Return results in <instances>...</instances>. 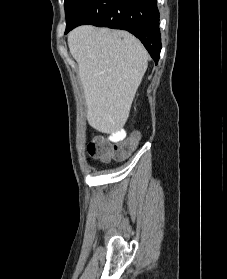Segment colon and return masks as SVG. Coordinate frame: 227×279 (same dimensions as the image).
<instances>
[{
    "label": "colon",
    "instance_id": "1",
    "mask_svg": "<svg viewBox=\"0 0 227 279\" xmlns=\"http://www.w3.org/2000/svg\"><path fill=\"white\" fill-rule=\"evenodd\" d=\"M138 142V133H134L125 141L115 144H109L104 139H97L88 145L87 154L90 158L102 162H108L112 158L124 159L138 145Z\"/></svg>",
    "mask_w": 227,
    "mask_h": 279
}]
</instances>
